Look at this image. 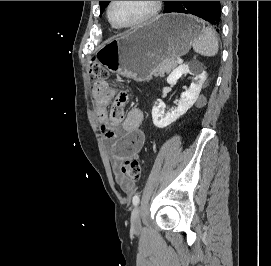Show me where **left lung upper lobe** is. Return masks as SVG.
<instances>
[{
  "label": "left lung upper lobe",
  "instance_id": "1",
  "mask_svg": "<svg viewBox=\"0 0 271 266\" xmlns=\"http://www.w3.org/2000/svg\"><path fill=\"white\" fill-rule=\"evenodd\" d=\"M109 2H110V1H99L100 8H101V13H100V14L103 13L105 7L108 5ZM165 2L168 3L169 1H165Z\"/></svg>",
  "mask_w": 271,
  "mask_h": 266
}]
</instances>
